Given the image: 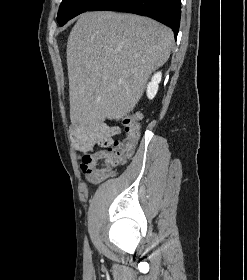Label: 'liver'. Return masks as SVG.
Listing matches in <instances>:
<instances>
[{
    "label": "liver",
    "mask_w": 247,
    "mask_h": 280,
    "mask_svg": "<svg viewBox=\"0 0 247 280\" xmlns=\"http://www.w3.org/2000/svg\"><path fill=\"white\" fill-rule=\"evenodd\" d=\"M170 28L133 14L86 12L67 41L70 119L92 128L123 119L170 57Z\"/></svg>",
    "instance_id": "6515ba94"
}]
</instances>
